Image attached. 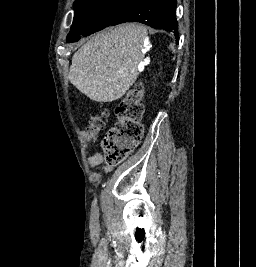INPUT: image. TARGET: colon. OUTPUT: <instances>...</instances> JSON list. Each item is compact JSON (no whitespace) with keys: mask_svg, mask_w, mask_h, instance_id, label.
Returning <instances> with one entry per match:
<instances>
[{"mask_svg":"<svg viewBox=\"0 0 256 267\" xmlns=\"http://www.w3.org/2000/svg\"><path fill=\"white\" fill-rule=\"evenodd\" d=\"M142 92V87H134L116 107L117 124L102 141L106 160L109 163L115 164L126 159L142 138L143 130L140 124L144 113ZM108 116L107 111H102L99 115L93 114L87 129L88 136L102 132Z\"/></svg>","mask_w":256,"mask_h":267,"instance_id":"5ec220e1","label":"colon"}]
</instances>
